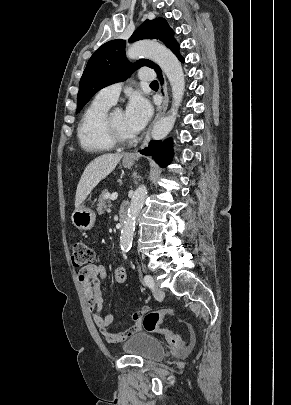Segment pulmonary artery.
<instances>
[{"label": "pulmonary artery", "instance_id": "pulmonary-artery-1", "mask_svg": "<svg viewBox=\"0 0 291 405\" xmlns=\"http://www.w3.org/2000/svg\"><path fill=\"white\" fill-rule=\"evenodd\" d=\"M138 76L141 81H153L156 74L150 68H143L139 71ZM121 86V83H115L104 87L98 92L96 97L110 104H114L120 94Z\"/></svg>", "mask_w": 291, "mask_h": 405}]
</instances>
